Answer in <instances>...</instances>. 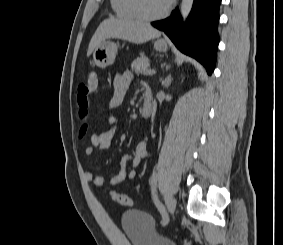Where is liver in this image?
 Here are the masks:
<instances>
[{
    "label": "liver",
    "instance_id": "1",
    "mask_svg": "<svg viewBox=\"0 0 283 245\" xmlns=\"http://www.w3.org/2000/svg\"><path fill=\"white\" fill-rule=\"evenodd\" d=\"M160 35V31L154 29L147 23L128 19L110 18L104 20L93 35L89 43L87 57H89L97 46L106 39L117 38L135 44H142L150 39L158 38Z\"/></svg>",
    "mask_w": 283,
    "mask_h": 245
}]
</instances>
